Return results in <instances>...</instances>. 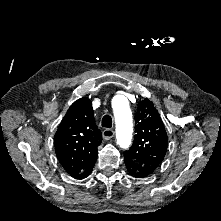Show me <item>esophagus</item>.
I'll return each instance as SVG.
<instances>
[{
	"instance_id": "esophagus-1",
	"label": "esophagus",
	"mask_w": 221,
	"mask_h": 221,
	"mask_svg": "<svg viewBox=\"0 0 221 221\" xmlns=\"http://www.w3.org/2000/svg\"><path fill=\"white\" fill-rule=\"evenodd\" d=\"M114 136V131L112 129H105L103 131V138L109 140Z\"/></svg>"
}]
</instances>
